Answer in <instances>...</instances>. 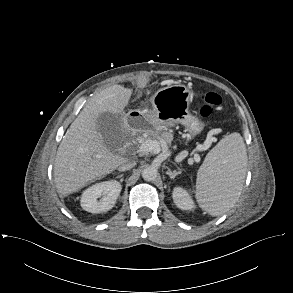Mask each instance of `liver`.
Wrapping results in <instances>:
<instances>
[{
	"instance_id": "6515ba94",
	"label": "liver",
	"mask_w": 293,
	"mask_h": 293,
	"mask_svg": "<svg viewBox=\"0 0 293 293\" xmlns=\"http://www.w3.org/2000/svg\"><path fill=\"white\" fill-rule=\"evenodd\" d=\"M132 90L110 86L94 95L64 135L55 158L54 181L57 192L68 196L88 183L110 174L125 159L106 146L97 128L100 114H121Z\"/></svg>"
}]
</instances>
